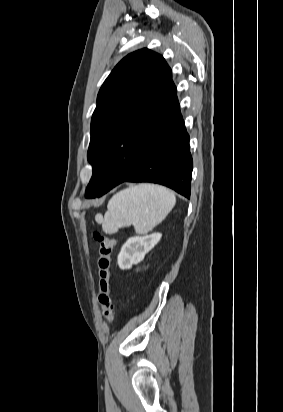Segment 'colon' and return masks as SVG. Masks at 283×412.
Segmentation results:
<instances>
[{"label": "colon", "instance_id": "obj_1", "mask_svg": "<svg viewBox=\"0 0 283 412\" xmlns=\"http://www.w3.org/2000/svg\"><path fill=\"white\" fill-rule=\"evenodd\" d=\"M93 237L97 244L98 268V295L97 300L102 308V313L109 323L115 319V306L111 296V268L112 253L115 241L110 236L95 231Z\"/></svg>", "mask_w": 283, "mask_h": 412}]
</instances>
